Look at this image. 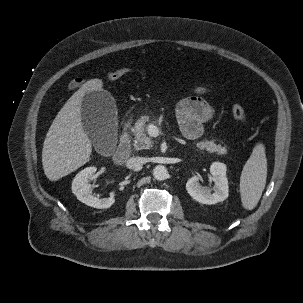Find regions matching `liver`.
Masks as SVG:
<instances>
[{
    "label": "liver",
    "mask_w": 303,
    "mask_h": 303,
    "mask_svg": "<svg viewBox=\"0 0 303 303\" xmlns=\"http://www.w3.org/2000/svg\"><path fill=\"white\" fill-rule=\"evenodd\" d=\"M101 79H91L58 112L46 135L42 164L46 177L57 181L90 160L91 142L82 126L81 104L87 92L101 91Z\"/></svg>",
    "instance_id": "6515ba94"
}]
</instances>
